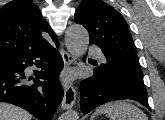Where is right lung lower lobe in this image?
Masks as SVG:
<instances>
[{
	"label": "right lung lower lobe",
	"instance_id": "1",
	"mask_svg": "<svg viewBox=\"0 0 165 120\" xmlns=\"http://www.w3.org/2000/svg\"><path fill=\"white\" fill-rule=\"evenodd\" d=\"M52 40L58 45L57 38ZM32 65L41 71L28 78L24 70ZM62 68V57L49 42L0 61V102L22 107L38 120H51L63 99L58 80Z\"/></svg>",
	"mask_w": 165,
	"mask_h": 120
}]
</instances>
